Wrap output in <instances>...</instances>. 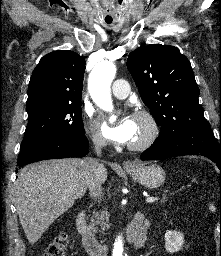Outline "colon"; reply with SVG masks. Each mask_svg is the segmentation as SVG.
<instances>
[{"label":"colon","instance_id":"1","mask_svg":"<svg viewBox=\"0 0 221 256\" xmlns=\"http://www.w3.org/2000/svg\"><path fill=\"white\" fill-rule=\"evenodd\" d=\"M68 237L65 233L58 235L40 256H65Z\"/></svg>","mask_w":221,"mask_h":256}]
</instances>
